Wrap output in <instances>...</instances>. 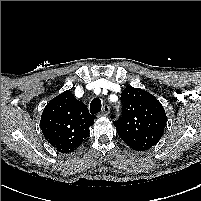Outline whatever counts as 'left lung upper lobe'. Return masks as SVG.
<instances>
[{"label":"left lung upper lobe","instance_id":"obj_1","mask_svg":"<svg viewBox=\"0 0 201 201\" xmlns=\"http://www.w3.org/2000/svg\"><path fill=\"white\" fill-rule=\"evenodd\" d=\"M121 102L122 117L114 122L119 137L134 150L150 149L160 140L166 126L163 106L150 93L131 87L123 90Z\"/></svg>","mask_w":201,"mask_h":201}]
</instances>
